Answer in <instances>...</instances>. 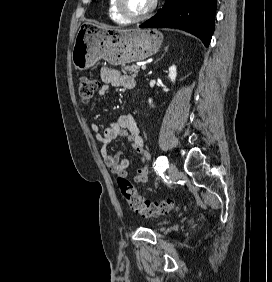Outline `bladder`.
<instances>
[{
  "label": "bladder",
  "instance_id": "31cf9c89",
  "mask_svg": "<svg viewBox=\"0 0 272 282\" xmlns=\"http://www.w3.org/2000/svg\"><path fill=\"white\" fill-rule=\"evenodd\" d=\"M166 224H167V221H161V222L157 223V226L161 227V226H164Z\"/></svg>",
  "mask_w": 272,
  "mask_h": 282
}]
</instances>
